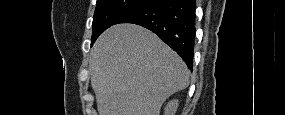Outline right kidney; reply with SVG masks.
Returning a JSON list of instances; mask_svg holds the SVG:
<instances>
[{
    "mask_svg": "<svg viewBox=\"0 0 285 115\" xmlns=\"http://www.w3.org/2000/svg\"><path fill=\"white\" fill-rule=\"evenodd\" d=\"M178 105V100H171L165 108V115H175Z\"/></svg>",
    "mask_w": 285,
    "mask_h": 115,
    "instance_id": "obj_1",
    "label": "right kidney"
}]
</instances>
